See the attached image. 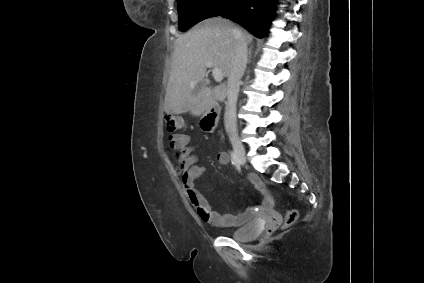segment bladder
Segmentation results:
<instances>
[{
	"label": "bladder",
	"mask_w": 424,
	"mask_h": 283,
	"mask_svg": "<svg viewBox=\"0 0 424 283\" xmlns=\"http://www.w3.org/2000/svg\"><path fill=\"white\" fill-rule=\"evenodd\" d=\"M263 229V223L260 219L254 218L241 226L240 228L231 232L232 239L239 242H246L253 240L259 236Z\"/></svg>",
	"instance_id": "31cf9c89"
}]
</instances>
